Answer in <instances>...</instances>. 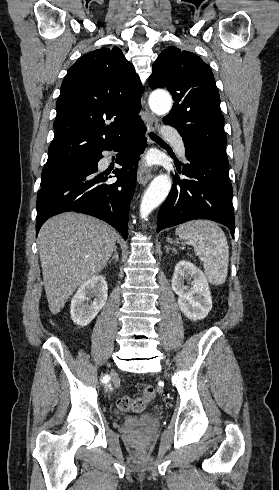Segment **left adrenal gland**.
Returning a JSON list of instances; mask_svg holds the SVG:
<instances>
[{"label":"left adrenal gland","instance_id":"1","mask_svg":"<svg viewBox=\"0 0 279 490\" xmlns=\"http://www.w3.org/2000/svg\"><path fill=\"white\" fill-rule=\"evenodd\" d=\"M164 248H166V252H170V250H173V252H175V254H177L176 248H170V246H164Z\"/></svg>","mask_w":279,"mask_h":490}]
</instances>
